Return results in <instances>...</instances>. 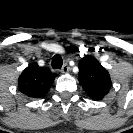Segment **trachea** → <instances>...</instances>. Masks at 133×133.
I'll list each match as a JSON object with an SVG mask.
<instances>
[{
	"label": "trachea",
	"instance_id": "trachea-1",
	"mask_svg": "<svg viewBox=\"0 0 133 133\" xmlns=\"http://www.w3.org/2000/svg\"><path fill=\"white\" fill-rule=\"evenodd\" d=\"M62 64H63V60H62L61 56L55 55L52 58V68L53 69H60L62 67Z\"/></svg>",
	"mask_w": 133,
	"mask_h": 133
}]
</instances>
